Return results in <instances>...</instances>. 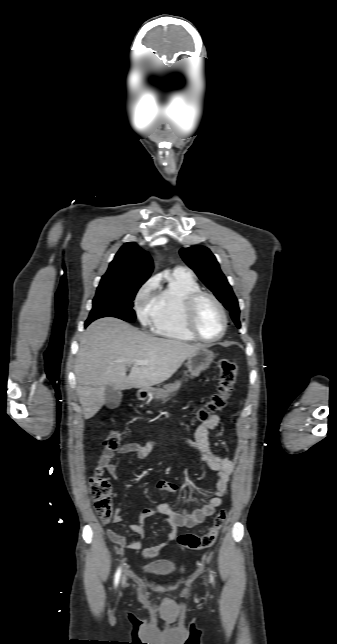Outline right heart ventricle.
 Wrapping results in <instances>:
<instances>
[{"instance_id": "obj_1", "label": "right heart ventricle", "mask_w": 337, "mask_h": 644, "mask_svg": "<svg viewBox=\"0 0 337 644\" xmlns=\"http://www.w3.org/2000/svg\"><path fill=\"white\" fill-rule=\"evenodd\" d=\"M198 290L200 285L190 272L182 269L173 271L166 286L156 296L152 331L168 339L195 342L185 325L184 308L189 295Z\"/></svg>"}]
</instances>
